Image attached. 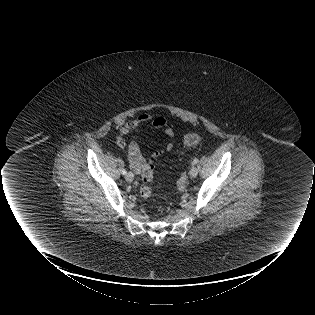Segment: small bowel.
I'll list each match as a JSON object with an SVG mask.
<instances>
[{
	"label": "small bowel",
	"mask_w": 315,
	"mask_h": 315,
	"mask_svg": "<svg viewBox=\"0 0 315 315\" xmlns=\"http://www.w3.org/2000/svg\"><path fill=\"white\" fill-rule=\"evenodd\" d=\"M145 126H151L155 129L161 130L170 138L162 149H157L152 153L154 158H157L165 151H171L174 148V132L169 127L167 119L163 116L143 113L138 115L135 119L123 123L121 130L125 134L131 133L134 136H137L140 130ZM128 157L132 170L135 173L140 174L141 170L146 164V160L143 157L140 145L136 140H133L129 144Z\"/></svg>",
	"instance_id": "obj_1"
}]
</instances>
